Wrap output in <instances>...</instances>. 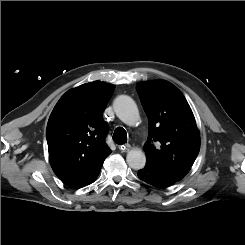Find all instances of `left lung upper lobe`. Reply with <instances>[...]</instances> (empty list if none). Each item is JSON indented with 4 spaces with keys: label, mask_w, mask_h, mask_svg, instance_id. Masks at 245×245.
Returning a JSON list of instances; mask_svg holds the SVG:
<instances>
[{
    "label": "left lung upper lobe",
    "mask_w": 245,
    "mask_h": 245,
    "mask_svg": "<svg viewBox=\"0 0 245 245\" xmlns=\"http://www.w3.org/2000/svg\"><path fill=\"white\" fill-rule=\"evenodd\" d=\"M136 89L149 122L148 141L144 145L146 164L185 177L198 156L201 142L186 98L176 86L162 80L141 82Z\"/></svg>",
    "instance_id": "obj_1"
}]
</instances>
